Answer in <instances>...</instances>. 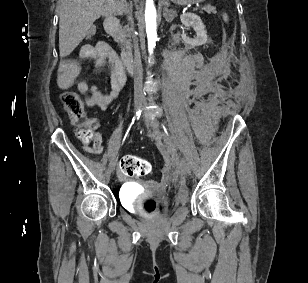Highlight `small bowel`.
Returning a JSON list of instances; mask_svg holds the SVG:
<instances>
[{"instance_id":"c3829d8e","label":"small bowel","mask_w":308,"mask_h":283,"mask_svg":"<svg viewBox=\"0 0 308 283\" xmlns=\"http://www.w3.org/2000/svg\"><path fill=\"white\" fill-rule=\"evenodd\" d=\"M80 59H92L97 68L108 65L110 67V86L109 93L101 92L97 87L88 85L80 78L79 59H66L61 65V70L66 78L70 80L77 90L85 97L87 106H98L102 110L107 107L119 96L126 81V74L117 54L112 47L99 41L94 45H84L80 50ZM92 141V144H90ZM84 141L83 149L89 154H101L103 152L102 136L98 131H94L92 140Z\"/></svg>"}]
</instances>
